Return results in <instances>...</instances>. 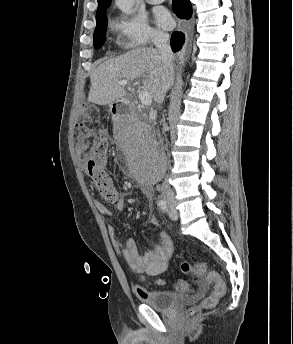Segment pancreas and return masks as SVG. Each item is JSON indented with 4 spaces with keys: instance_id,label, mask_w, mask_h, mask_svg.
I'll return each mask as SVG.
<instances>
[{
    "instance_id": "cf45deb5",
    "label": "pancreas",
    "mask_w": 293,
    "mask_h": 344,
    "mask_svg": "<svg viewBox=\"0 0 293 344\" xmlns=\"http://www.w3.org/2000/svg\"><path fill=\"white\" fill-rule=\"evenodd\" d=\"M150 122H151V119L148 121V123H150ZM148 123L143 124L141 122H138L136 124V126L133 128V130H132L133 132L132 133L137 135V134H139V133H141L143 131H147L150 128V125Z\"/></svg>"
}]
</instances>
